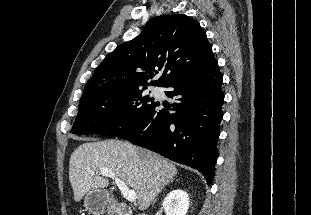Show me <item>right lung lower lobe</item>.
<instances>
[{
    "mask_svg": "<svg viewBox=\"0 0 311 215\" xmlns=\"http://www.w3.org/2000/svg\"><path fill=\"white\" fill-rule=\"evenodd\" d=\"M222 81L217 60L171 81L165 87L171 88L168 97L176 96L173 108H155L117 137L199 170L211 185L223 117Z\"/></svg>",
    "mask_w": 311,
    "mask_h": 215,
    "instance_id": "98d812e1",
    "label": "right lung lower lobe"
}]
</instances>
